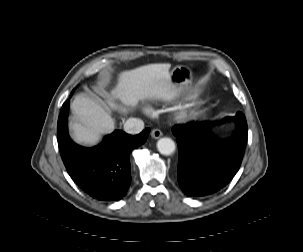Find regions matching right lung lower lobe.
<instances>
[{
    "mask_svg": "<svg viewBox=\"0 0 303 252\" xmlns=\"http://www.w3.org/2000/svg\"><path fill=\"white\" fill-rule=\"evenodd\" d=\"M68 114L69 100L61 108L57 131L59 151L70 177L95 199H121L131 183L129 155L147 140L150 129L136 136L116 130L98 146L85 148L69 137Z\"/></svg>",
    "mask_w": 303,
    "mask_h": 252,
    "instance_id": "98d812e1",
    "label": "right lung lower lobe"
}]
</instances>
